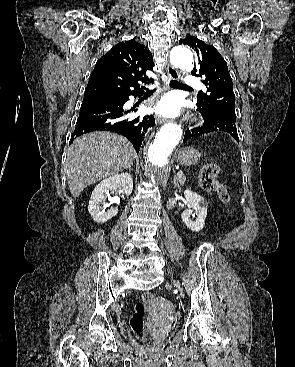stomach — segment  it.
I'll return each mask as SVG.
<instances>
[{
	"instance_id": "1",
	"label": "stomach",
	"mask_w": 295,
	"mask_h": 367,
	"mask_svg": "<svg viewBox=\"0 0 295 367\" xmlns=\"http://www.w3.org/2000/svg\"><path fill=\"white\" fill-rule=\"evenodd\" d=\"M201 154L193 147H185L177 151L176 161L182 166H192L198 163Z\"/></svg>"
}]
</instances>
